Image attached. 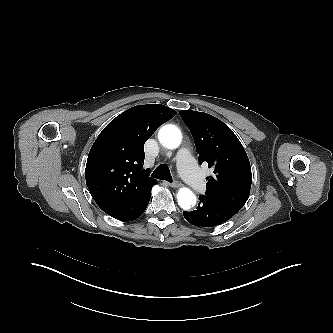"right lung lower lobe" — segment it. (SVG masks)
<instances>
[{
    "mask_svg": "<svg viewBox=\"0 0 333 333\" xmlns=\"http://www.w3.org/2000/svg\"><path fill=\"white\" fill-rule=\"evenodd\" d=\"M150 197H151V188L135 196L134 199L131 201V203L123 212L111 214L110 216L125 222L135 220L138 217H140L145 211L149 203Z\"/></svg>",
    "mask_w": 333,
    "mask_h": 333,
    "instance_id": "right-lung-lower-lobe-1",
    "label": "right lung lower lobe"
}]
</instances>
